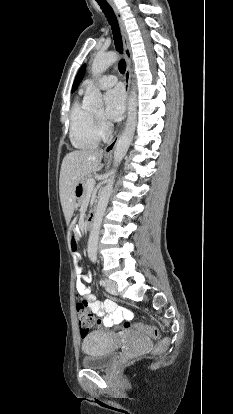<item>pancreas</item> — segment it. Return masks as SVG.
<instances>
[{"instance_id": "cf45deb5", "label": "pancreas", "mask_w": 233, "mask_h": 414, "mask_svg": "<svg viewBox=\"0 0 233 414\" xmlns=\"http://www.w3.org/2000/svg\"><path fill=\"white\" fill-rule=\"evenodd\" d=\"M88 179H90L89 177H87V178H85L84 179V181H83V185H84V193H83V197L80 199V203H82L85 199H86V197H87V195L90 193V191H91V189L88 187V185H87V181H88Z\"/></svg>"}]
</instances>
